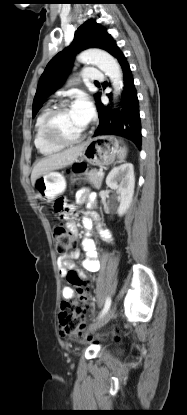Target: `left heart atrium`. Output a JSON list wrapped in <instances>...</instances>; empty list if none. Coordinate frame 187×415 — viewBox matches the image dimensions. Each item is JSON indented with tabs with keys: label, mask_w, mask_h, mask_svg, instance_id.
<instances>
[{
	"label": "left heart atrium",
	"mask_w": 187,
	"mask_h": 415,
	"mask_svg": "<svg viewBox=\"0 0 187 415\" xmlns=\"http://www.w3.org/2000/svg\"><path fill=\"white\" fill-rule=\"evenodd\" d=\"M73 111L81 118L83 123H87L93 116V106L86 95H80L72 106Z\"/></svg>",
	"instance_id": "39dd6f15"
}]
</instances>
